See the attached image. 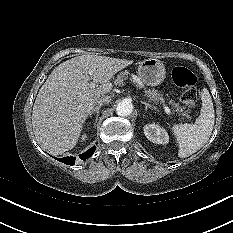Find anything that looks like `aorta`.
I'll use <instances>...</instances> for the list:
<instances>
[{
	"instance_id": "obj_1",
	"label": "aorta",
	"mask_w": 233,
	"mask_h": 233,
	"mask_svg": "<svg viewBox=\"0 0 233 233\" xmlns=\"http://www.w3.org/2000/svg\"><path fill=\"white\" fill-rule=\"evenodd\" d=\"M133 111V105L130 100L124 99L119 102L116 112L119 116H129Z\"/></svg>"
}]
</instances>
